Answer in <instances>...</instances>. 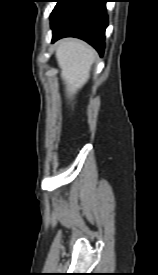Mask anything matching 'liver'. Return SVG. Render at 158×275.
I'll use <instances>...</instances> for the list:
<instances>
[{"label":"liver","instance_id":"liver-1","mask_svg":"<svg viewBox=\"0 0 158 275\" xmlns=\"http://www.w3.org/2000/svg\"><path fill=\"white\" fill-rule=\"evenodd\" d=\"M56 59L61 68V78L66 87L67 97L74 95L88 81L95 51L77 39H65L58 43Z\"/></svg>","mask_w":158,"mask_h":275}]
</instances>
